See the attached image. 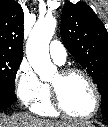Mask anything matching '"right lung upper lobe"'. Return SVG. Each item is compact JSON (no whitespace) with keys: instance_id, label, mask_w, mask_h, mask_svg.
I'll return each mask as SVG.
<instances>
[{"instance_id":"right-lung-upper-lobe-1","label":"right lung upper lobe","mask_w":108,"mask_h":127,"mask_svg":"<svg viewBox=\"0 0 108 127\" xmlns=\"http://www.w3.org/2000/svg\"><path fill=\"white\" fill-rule=\"evenodd\" d=\"M24 14L14 0L0 1V52L23 56Z\"/></svg>"}]
</instances>
